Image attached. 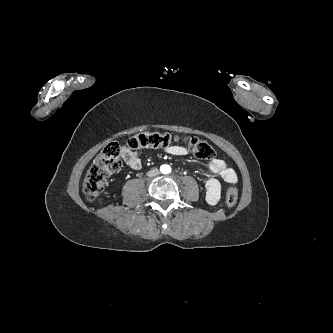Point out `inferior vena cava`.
I'll return each instance as SVG.
<instances>
[{"mask_svg": "<svg viewBox=\"0 0 333 333\" xmlns=\"http://www.w3.org/2000/svg\"><path fill=\"white\" fill-rule=\"evenodd\" d=\"M158 174H159V170L157 168L152 169L147 172V176H149V177H154V176H157Z\"/></svg>", "mask_w": 333, "mask_h": 333, "instance_id": "obj_1", "label": "inferior vena cava"}]
</instances>
